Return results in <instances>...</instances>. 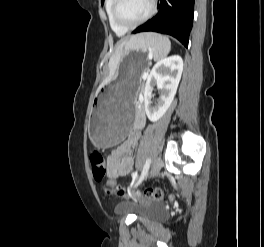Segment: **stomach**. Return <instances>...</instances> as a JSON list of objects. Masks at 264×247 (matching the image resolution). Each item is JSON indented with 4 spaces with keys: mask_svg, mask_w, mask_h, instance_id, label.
Returning a JSON list of instances; mask_svg holds the SVG:
<instances>
[{
    "mask_svg": "<svg viewBox=\"0 0 264 247\" xmlns=\"http://www.w3.org/2000/svg\"><path fill=\"white\" fill-rule=\"evenodd\" d=\"M134 46L135 42L129 43L125 50H131ZM148 57V53H127L123 62L134 63H118L116 70L119 76L113 78L108 86H101L93 101L89 124L90 139L95 146L117 147V142L126 141L135 113L133 98Z\"/></svg>",
    "mask_w": 264,
    "mask_h": 247,
    "instance_id": "stomach-1",
    "label": "stomach"
}]
</instances>
